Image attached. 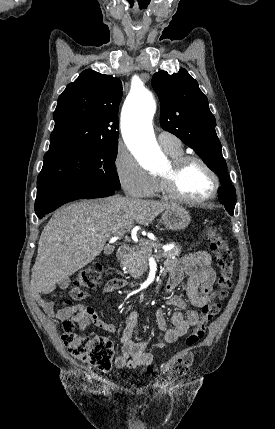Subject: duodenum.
Returning <instances> with one entry per match:
<instances>
[{
    "label": "duodenum",
    "instance_id": "1",
    "mask_svg": "<svg viewBox=\"0 0 275 429\" xmlns=\"http://www.w3.org/2000/svg\"><path fill=\"white\" fill-rule=\"evenodd\" d=\"M129 255H130V250L127 247L125 246L119 247L117 251V259L119 262L121 263L125 262L128 259Z\"/></svg>",
    "mask_w": 275,
    "mask_h": 429
}]
</instances>
